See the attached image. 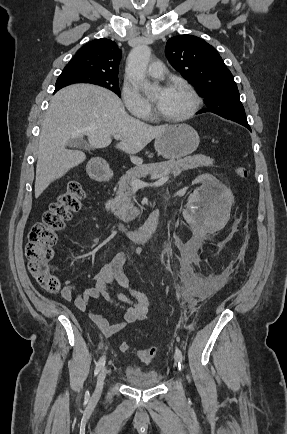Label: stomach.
Segmentation results:
<instances>
[{"label":"stomach","mask_w":287,"mask_h":434,"mask_svg":"<svg viewBox=\"0 0 287 434\" xmlns=\"http://www.w3.org/2000/svg\"><path fill=\"white\" fill-rule=\"evenodd\" d=\"M199 135L191 126L177 124L168 126L155 138V150L162 157L175 160L193 153L198 145Z\"/></svg>","instance_id":"stomach-1"}]
</instances>
